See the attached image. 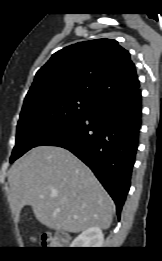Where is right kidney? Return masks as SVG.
<instances>
[{
    "label": "right kidney",
    "instance_id": "obj_1",
    "mask_svg": "<svg viewBox=\"0 0 162 261\" xmlns=\"http://www.w3.org/2000/svg\"><path fill=\"white\" fill-rule=\"evenodd\" d=\"M104 242V235L99 227H91L82 232L71 243V248H100Z\"/></svg>",
    "mask_w": 162,
    "mask_h": 261
}]
</instances>
